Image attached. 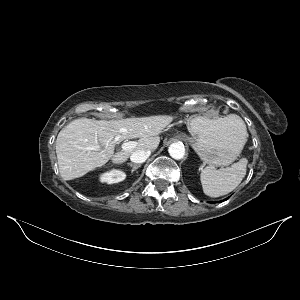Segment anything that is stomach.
Segmentation results:
<instances>
[{
  "instance_id": "1",
  "label": "stomach",
  "mask_w": 300,
  "mask_h": 300,
  "mask_svg": "<svg viewBox=\"0 0 300 300\" xmlns=\"http://www.w3.org/2000/svg\"><path fill=\"white\" fill-rule=\"evenodd\" d=\"M192 146L201 160L213 167L228 166L240 155L246 142L227 117L210 119L194 115L188 120Z\"/></svg>"
}]
</instances>
